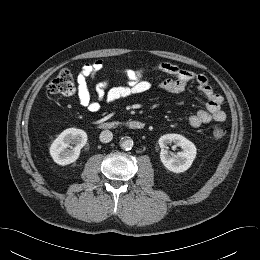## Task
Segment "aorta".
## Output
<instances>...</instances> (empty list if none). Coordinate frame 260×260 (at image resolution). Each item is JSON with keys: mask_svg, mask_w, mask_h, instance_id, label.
Returning <instances> with one entry per match:
<instances>
[{"mask_svg": "<svg viewBox=\"0 0 260 260\" xmlns=\"http://www.w3.org/2000/svg\"><path fill=\"white\" fill-rule=\"evenodd\" d=\"M120 147L124 150H130L133 147V140L131 138H122Z\"/></svg>", "mask_w": 260, "mask_h": 260, "instance_id": "aorta-1", "label": "aorta"}]
</instances>
